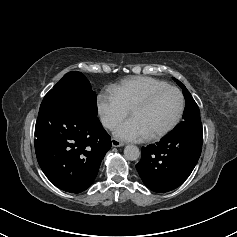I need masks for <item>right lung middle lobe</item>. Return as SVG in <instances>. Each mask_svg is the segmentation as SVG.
<instances>
[{
  "label": "right lung middle lobe",
  "instance_id": "right-lung-middle-lobe-1",
  "mask_svg": "<svg viewBox=\"0 0 237 237\" xmlns=\"http://www.w3.org/2000/svg\"><path fill=\"white\" fill-rule=\"evenodd\" d=\"M45 97L58 100L74 112L97 117V98L89 81L80 72H68Z\"/></svg>",
  "mask_w": 237,
  "mask_h": 237
}]
</instances>
